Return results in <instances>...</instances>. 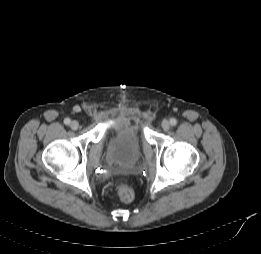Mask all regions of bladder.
<instances>
[{"label":"bladder","instance_id":"obj_1","mask_svg":"<svg viewBox=\"0 0 261 254\" xmlns=\"http://www.w3.org/2000/svg\"><path fill=\"white\" fill-rule=\"evenodd\" d=\"M140 152V134L132 125L120 127L108 141L107 158L114 166H132L138 160Z\"/></svg>","mask_w":261,"mask_h":254}]
</instances>
